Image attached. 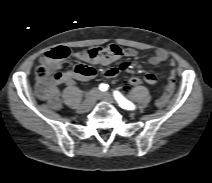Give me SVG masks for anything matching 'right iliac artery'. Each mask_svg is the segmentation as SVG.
I'll use <instances>...</instances> for the list:
<instances>
[{"label": "right iliac artery", "mask_w": 212, "mask_h": 183, "mask_svg": "<svg viewBox=\"0 0 212 183\" xmlns=\"http://www.w3.org/2000/svg\"><path fill=\"white\" fill-rule=\"evenodd\" d=\"M99 89L104 92V91H106L108 89V85L102 83V84H100Z\"/></svg>", "instance_id": "right-iliac-artery-1"}]
</instances>
